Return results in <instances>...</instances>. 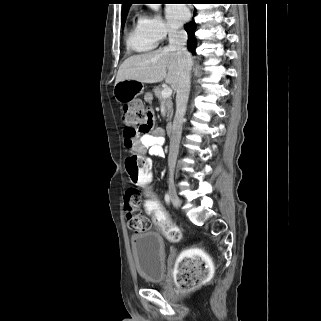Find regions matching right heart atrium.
Segmentation results:
<instances>
[{
    "instance_id": "1",
    "label": "right heart atrium",
    "mask_w": 321,
    "mask_h": 321,
    "mask_svg": "<svg viewBox=\"0 0 321 321\" xmlns=\"http://www.w3.org/2000/svg\"><path fill=\"white\" fill-rule=\"evenodd\" d=\"M140 23L146 32L157 41L175 33L159 15H145L140 18Z\"/></svg>"
}]
</instances>
